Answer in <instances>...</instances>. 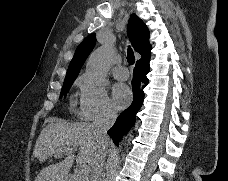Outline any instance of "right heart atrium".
<instances>
[{
	"label": "right heart atrium",
	"mask_w": 228,
	"mask_h": 181,
	"mask_svg": "<svg viewBox=\"0 0 228 181\" xmlns=\"http://www.w3.org/2000/svg\"><path fill=\"white\" fill-rule=\"evenodd\" d=\"M84 84L85 87L80 98L79 117L92 121L111 115L114 112V106L107 90L94 76H89Z\"/></svg>",
	"instance_id": "1"
}]
</instances>
